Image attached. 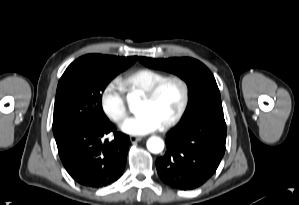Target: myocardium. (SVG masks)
I'll list each match as a JSON object with an SVG mask.
<instances>
[{
    "label": "myocardium",
    "mask_w": 299,
    "mask_h": 205,
    "mask_svg": "<svg viewBox=\"0 0 299 205\" xmlns=\"http://www.w3.org/2000/svg\"><path fill=\"white\" fill-rule=\"evenodd\" d=\"M169 83H177L181 87L182 96L180 105L176 113L165 123L161 125L162 129H168L176 125L184 116L190 101V87L185 79L179 76H167L155 83L152 87L141 94V98L145 101L155 99L163 88Z\"/></svg>",
    "instance_id": "1"
}]
</instances>
